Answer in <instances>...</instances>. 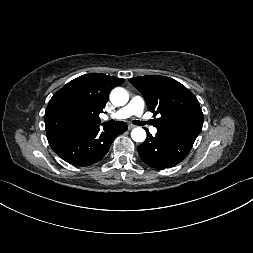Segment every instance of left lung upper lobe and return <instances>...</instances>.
<instances>
[{
	"instance_id": "5c2ea615",
	"label": "left lung upper lobe",
	"mask_w": 253,
	"mask_h": 253,
	"mask_svg": "<svg viewBox=\"0 0 253 253\" xmlns=\"http://www.w3.org/2000/svg\"><path fill=\"white\" fill-rule=\"evenodd\" d=\"M144 96L148 109L160 115L155 119L158 132L196 139L203 125V113L197 98L178 81L164 76L131 78Z\"/></svg>"
}]
</instances>
